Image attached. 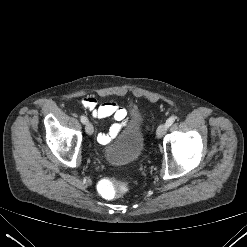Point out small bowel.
I'll return each instance as SVG.
<instances>
[{
	"instance_id": "obj_1",
	"label": "small bowel",
	"mask_w": 247,
	"mask_h": 247,
	"mask_svg": "<svg viewBox=\"0 0 247 247\" xmlns=\"http://www.w3.org/2000/svg\"><path fill=\"white\" fill-rule=\"evenodd\" d=\"M81 104L86 110L92 113L95 119L112 118L116 121L107 133H99L97 135V140L101 145L108 144L119 133L127 118V110L113 101L99 103L98 100L92 96L85 97L81 101Z\"/></svg>"
}]
</instances>
